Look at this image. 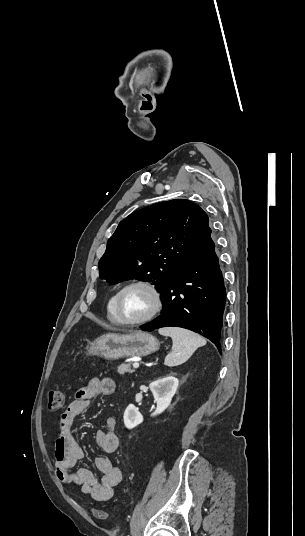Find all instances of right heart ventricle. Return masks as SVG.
Wrapping results in <instances>:
<instances>
[{
  "label": "right heart ventricle",
  "mask_w": 305,
  "mask_h": 536,
  "mask_svg": "<svg viewBox=\"0 0 305 536\" xmlns=\"http://www.w3.org/2000/svg\"><path fill=\"white\" fill-rule=\"evenodd\" d=\"M117 290L112 293L106 304V318L112 325H119L118 320L114 313V301L117 294Z\"/></svg>",
  "instance_id": "obj_1"
}]
</instances>
